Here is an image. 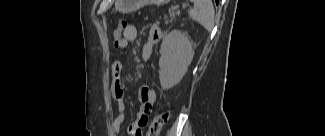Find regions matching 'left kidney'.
Returning a JSON list of instances; mask_svg holds the SVG:
<instances>
[{"label":"left kidney","instance_id":"1","mask_svg":"<svg viewBox=\"0 0 325 136\" xmlns=\"http://www.w3.org/2000/svg\"><path fill=\"white\" fill-rule=\"evenodd\" d=\"M160 54L159 79L162 89L167 90L181 81L193 60L190 37L180 30H172L163 38Z\"/></svg>","mask_w":325,"mask_h":136}]
</instances>
